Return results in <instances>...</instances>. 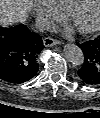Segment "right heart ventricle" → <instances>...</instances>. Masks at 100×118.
I'll use <instances>...</instances> for the list:
<instances>
[{
	"label": "right heart ventricle",
	"instance_id": "1",
	"mask_svg": "<svg viewBox=\"0 0 100 118\" xmlns=\"http://www.w3.org/2000/svg\"><path fill=\"white\" fill-rule=\"evenodd\" d=\"M56 7L63 13L67 11L79 0H52Z\"/></svg>",
	"mask_w": 100,
	"mask_h": 118
}]
</instances>
